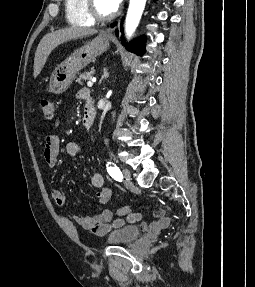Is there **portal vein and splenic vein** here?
<instances>
[{
	"label": "portal vein and splenic vein",
	"mask_w": 255,
	"mask_h": 287,
	"mask_svg": "<svg viewBox=\"0 0 255 287\" xmlns=\"http://www.w3.org/2000/svg\"><path fill=\"white\" fill-rule=\"evenodd\" d=\"M93 82H96V78H92V80H90V82H87L88 88H92Z\"/></svg>",
	"instance_id": "portal-vein-and-splenic-vein-1"
}]
</instances>
